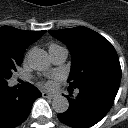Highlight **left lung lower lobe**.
I'll list each match as a JSON object with an SVG mask.
<instances>
[{"instance_id":"1","label":"left lung lower lobe","mask_w":128,"mask_h":128,"mask_svg":"<svg viewBox=\"0 0 128 128\" xmlns=\"http://www.w3.org/2000/svg\"><path fill=\"white\" fill-rule=\"evenodd\" d=\"M119 85L120 81L114 79H98L78 88L75 99L67 97L69 109L58 114L59 120L73 128L95 125L112 107Z\"/></svg>"}]
</instances>
